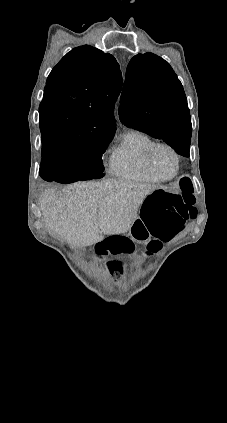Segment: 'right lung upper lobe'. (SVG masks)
Wrapping results in <instances>:
<instances>
[{"instance_id":"obj_1","label":"right lung upper lobe","mask_w":227,"mask_h":423,"mask_svg":"<svg viewBox=\"0 0 227 423\" xmlns=\"http://www.w3.org/2000/svg\"><path fill=\"white\" fill-rule=\"evenodd\" d=\"M122 77L114 56L89 45L74 48L48 76L39 107L42 143L73 136L114 135V103Z\"/></svg>"}]
</instances>
